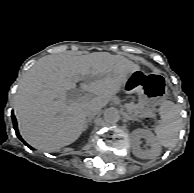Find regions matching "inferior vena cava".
<instances>
[{
  "mask_svg": "<svg viewBox=\"0 0 194 193\" xmlns=\"http://www.w3.org/2000/svg\"><path fill=\"white\" fill-rule=\"evenodd\" d=\"M100 110L98 109H92V110H88L86 115L88 117V119L93 118L95 115H97L99 113Z\"/></svg>",
  "mask_w": 194,
  "mask_h": 193,
  "instance_id": "602c4592",
  "label": "inferior vena cava"
}]
</instances>
